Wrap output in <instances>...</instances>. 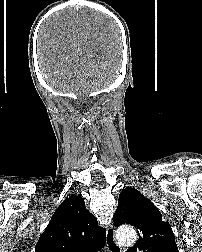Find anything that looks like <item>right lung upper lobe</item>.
<instances>
[{
  "label": "right lung upper lobe",
  "mask_w": 202,
  "mask_h": 252,
  "mask_svg": "<svg viewBox=\"0 0 202 252\" xmlns=\"http://www.w3.org/2000/svg\"><path fill=\"white\" fill-rule=\"evenodd\" d=\"M106 230L85 207L80 196L69 195L53 214L35 252H96L104 246Z\"/></svg>",
  "instance_id": "right-lung-upper-lobe-1"
}]
</instances>
